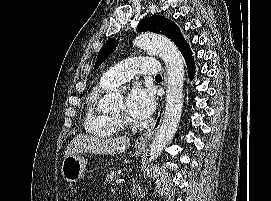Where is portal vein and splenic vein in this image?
I'll use <instances>...</instances> for the list:
<instances>
[{
	"instance_id": "obj_1",
	"label": "portal vein and splenic vein",
	"mask_w": 271,
	"mask_h": 201,
	"mask_svg": "<svg viewBox=\"0 0 271 201\" xmlns=\"http://www.w3.org/2000/svg\"><path fill=\"white\" fill-rule=\"evenodd\" d=\"M123 182H125L124 179H117V180H116V183H117V184H121V183H123Z\"/></svg>"
}]
</instances>
